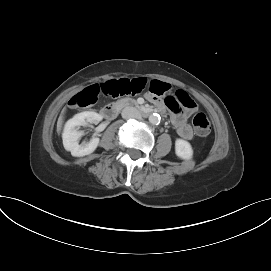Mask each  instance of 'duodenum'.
Segmentation results:
<instances>
[{"label":"duodenum","mask_w":271,"mask_h":271,"mask_svg":"<svg viewBox=\"0 0 271 271\" xmlns=\"http://www.w3.org/2000/svg\"><path fill=\"white\" fill-rule=\"evenodd\" d=\"M121 106H122V103H111V104L106 105L101 111L102 116L108 120L114 119L117 116ZM138 112L142 116H149L150 114L154 112V110H151L148 108H138Z\"/></svg>","instance_id":"duodenum-1"}]
</instances>
